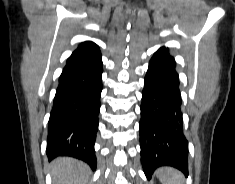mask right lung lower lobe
I'll use <instances>...</instances> for the list:
<instances>
[{"instance_id": "98d812e1", "label": "right lung lower lobe", "mask_w": 235, "mask_h": 184, "mask_svg": "<svg viewBox=\"0 0 235 184\" xmlns=\"http://www.w3.org/2000/svg\"><path fill=\"white\" fill-rule=\"evenodd\" d=\"M100 51L73 52L59 77L48 122L46 153L50 159L71 156L95 170L94 143L102 91Z\"/></svg>"}]
</instances>
